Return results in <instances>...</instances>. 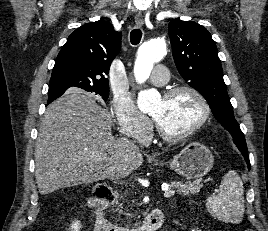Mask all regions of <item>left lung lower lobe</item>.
Returning a JSON list of instances; mask_svg holds the SVG:
<instances>
[{
  "mask_svg": "<svg viewBox=\"0 0 268 231\" xmlns=\"http://www.w3.org/2000/svg\"><path fill=\"white\" fill-rule=\"evenodd\" d=\"M242 153V155L244 156L246 162H247V166H248V169L250 170L251 168V165H250V161H249V156H248V153L247 151H240Z\"/></svg>",
  "mask_w": 268,
  "mask_h": 231,
  "instance_id": "left-lung-lower-lobe-1",
  "label": "left lung lower lobe"
}]
</instances>
